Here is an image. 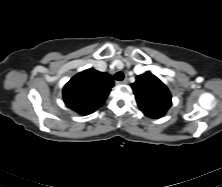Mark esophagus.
Segmentation results:
<instances>
[{"label": "esophagus", "instance_id": "esophagus-1", "mask_svg": "<svg viewBox=\"0 0 222 187\" xmlns=\"http://www.w3.org/2000/svg\"><path fill=\"white\" fill-rule=\"evenodd\" d=\"M117 84H127V79H124L122 81H117Z\"/></svg>", "mask_w": 222, "mask_h": 187}]
</instances>
